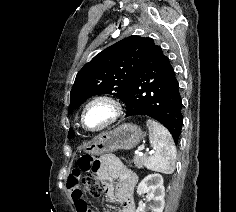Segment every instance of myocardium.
Segmentation results:
<instances>
[{"mask_svg": "<svg viewBox=\"0 0 236 212\" xmlns=\"http://www.w3.org/2000/svg\"><path fill=\"white\" fill-rule=\"evenodd\" d=\"M96 104L106 105L109 108V116L99 127L90 128L85 124V114L90 107ZM122 110V105L116 98L109 95H97L88 100L83 106L80 114V123L86 131L98 132L115 123L120 118Z\"/></svg>", "mask_w": 236, "mask_h": 212, "instance_id": "1", "label": "myocardium"}]
</instances>
